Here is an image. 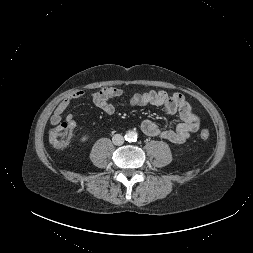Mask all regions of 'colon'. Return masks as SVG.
Returning <instances> with one entry per match:
<instances>
[{
	"label": "colon",
	"instance_id": "5ec220e1",
	"mask_svg": "<svg viewBox=\"0 0 253 253\" xmlns=\"http://www.w3.org/2000/svg\"><path fill=\"white\" fill-rule=\"evenodd\" d=\"M73 126L68 122H63L56 127L52 128L49 133V141L56 148L66 147L73 135ZM210 132L208 129H203L200 132V138L202 140H208Z\"/></svg>",
	"mask_w": 253,
	"mask_h": 253
}]
</instances>
